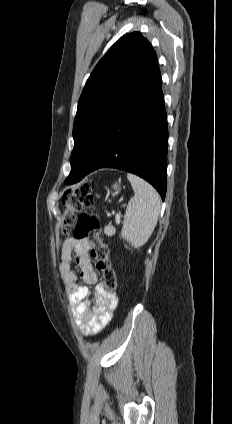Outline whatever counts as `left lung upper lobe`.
Listing matches in <instances>:
<instances>
[{
	"mask_svg": "<svg viewBox=\"0 0 232 424\" xmlns=\"http://www.w3.org/2000/svg\"><path fill=\"white\" fill-rule=\"evenodd\" d=\"M157 64L152 45L138 32L124 35L99 61L78 102L68 178H83L102 136Z\"/></svg>",
	"mask_w": 232,
	"mask_h": 424,
	"instance_id": "1",
	"label": "left lung upper lobe"
}]
</instances>
